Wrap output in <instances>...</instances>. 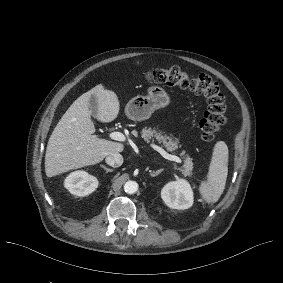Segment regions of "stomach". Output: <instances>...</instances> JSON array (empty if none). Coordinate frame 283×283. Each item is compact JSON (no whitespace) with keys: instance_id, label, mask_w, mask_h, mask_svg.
<instances>
[{"instance_id":"1","label":"stomach","mask_w":283,"mask_h":283,"mask_svg":"<svg viewBox=\"0 0 283 283\" xmlns=\"http://www.w3.org/2000/svg\"><path fill=\"white\" fill-rule=\"evenodd\" d=\"M169 102L170 99L164 89L152 86L148 88L147 96H136L127 103L125 114L131 120L143 121L149 119L156 109L167 106Z\"/></svg>"}]
</instances>
